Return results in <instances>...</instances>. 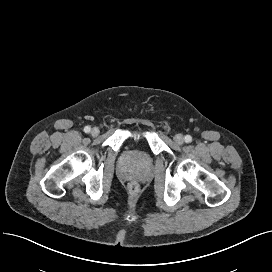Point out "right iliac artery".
I'll return each instance as SVG.
<instances>
[{
	"label": "right iliac artery",
	"instance_id": "obj_1",
	"mask_svg": "<svg viewBox=\"0 0 272 272\" xmlns=\"http://www.w3.org/2000/svg\"><path fill=\"white\" fill-rule=\"evenodd\" d=\"M84 132H85V133H89V132H90V127H89V126H86V127L84 128Z\"/></svg>",
	"mask_w": 272,
	"mask_h": 272
}]
</instances>
